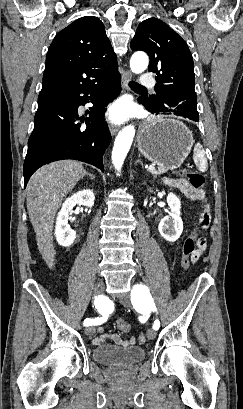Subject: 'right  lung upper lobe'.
Wrapping results in <instances>:
<instances>
[{
    "label": "right lung upper lobe",
    "mask_w": 243,
    "mask_h": 409,
    "mask_svg": "<svg viewBox=\"0 0 243 409\" xmlns=\"http://www.w3.org/2000/svg\"><path fill=\"white\" fill-rule=\"evenodd\" d=\"M117 71L103 23L84 16L61 30L51 43L39 95L95 84Z\"/></svg>",
    "instance_id": "1"
}]
</instances>
